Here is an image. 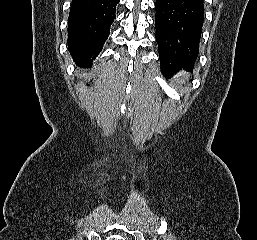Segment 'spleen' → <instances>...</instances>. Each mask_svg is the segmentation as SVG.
I'll return each instance as SVG.
<instances>
[{"mask_svg": "<svg viewBox=\"0 0 257 240\" xmlns=\"http://www.w3.org/2000/svg\"><path fill=\"white\" fill-rule=\"evenodd\" d=\"M187 79V77H183L182 78V83H185V80Z\"/></svg>", "mask_w": 257, "mask_h": 240, "instance_id": "1", "label": "spleen"}]
</instances>
